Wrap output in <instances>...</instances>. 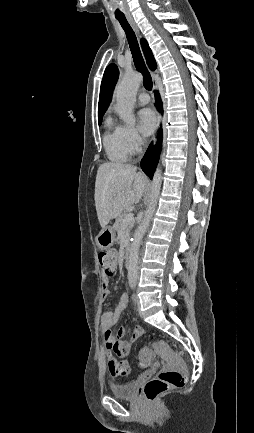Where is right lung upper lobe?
<instances>
[{"label":"right lung upper lobe","instance_id":"cb5924a9","mask_svg":"<svg viewBox=\"0 0 254 433\" xmlns=\"http://www.w3.org/2000/svg\"><path fill=\"white\" fill-rule=\"evenodd\" d=\"M141 45L149 68L151 70H155L157 64L147 41L145 39H142ZM118 75H119V71L115 64H110L104 72L103 80L101 82L100 97H99V104H98V121L102 120L103 114L105 113V111L109 106V103L111 102L113 90L117 82Z\"/></svg>","mask_w":254,"mask_h":433}]
</instances>
